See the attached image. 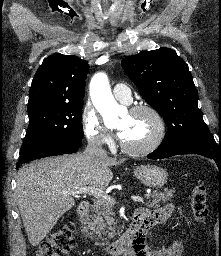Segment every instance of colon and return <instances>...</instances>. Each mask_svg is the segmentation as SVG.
Wrapping results in <instances>:
<instances>
[{
    "label": "colon",
    "instance_id": "colon-1",
    "mask_svg": "<svg viewBox=\"0 0 221 256\" xmlns=\"http://www.w3.org/2000/svg\"><path fill=\"white\" fill-rule=\"evenodd\" d=\"M191 208L195 220L204 224L207 214V194L202 183L195 185L190 195ZM75 246L74 224L66 223L54 231L39 246L35 256H68Z\"/></svg>",
    "mask_w": 221,
    "mask_h": 256
}]
</instances>
